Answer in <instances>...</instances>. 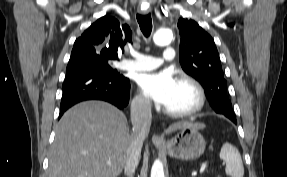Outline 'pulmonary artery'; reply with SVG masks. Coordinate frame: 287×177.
I'll return each instance as SVG.
<instances>
[{"label": "pulmonary artery", "instance_id": "e3ab8cb5", "mask_svg": "<svg viewBox=\"0 0 287 177\" xmlns=\"http://www.w3.org/2000/svg\"><path fill=\"white\" fill-rule=\"evenodd\" d=\"M133 60H123L119 62V68L129 71H147L161 65L162 61L171 62L174 60L175 51L171 46H166L163 51L162 61L154 56L140 52H131Z\"/></svg>", "mask_w": 287, "mask_h": 177}]
</instances>
